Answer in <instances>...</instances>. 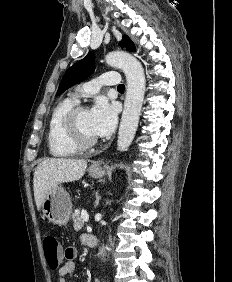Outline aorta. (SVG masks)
<instances>
[{"label": "aorta", "instance_id": "aorta-1", "mask_svg": "<svg viewBox=\"0 0 232 282\" xmlns=\"http://www.w3.org/2000/svg\"><path fill=\"white\" fill-rule=\"evenodd\" d=\"M105 59L107 64L121 68L127 80L126 98L117 140V149L123 152L130 146L136 134L145 94V75L141 63L127 52L112 51ZM100 254L104 256L103 248Z\"/></svg>", "mask_w": 232, "mask_h": 282}]
</instances>
